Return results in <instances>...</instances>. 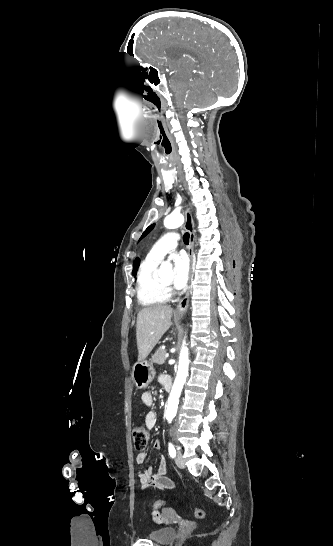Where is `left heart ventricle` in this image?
Returning <instances> with one entry per match:
<instances>
[{"instance_id":"b2bd125f","label":"left heart ventricle","mask_w":333,"mask_h":546,"mask_svg":"<svg viewBox=\"0 0 333 546\" xmlns=\"http://www.w3.org/2000/svg\"><path fill=\"white\" fill-rule=\"evenodd\" d=\"M162 282H163V284L169 285V284H171V282H172V278L169 277V278H167V279H164Z\"/></svg>"}]
</instances>
